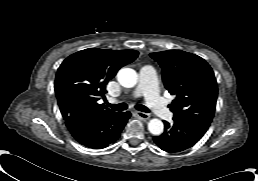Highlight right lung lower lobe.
Returning a JSON list of instances; mask_svg holds the SVG:
<instances>
[{
    "instance_id": "obj_1",
    "label": "right lung lower lobe",
    "mask_w": 258,
    "mask_h": 181,
    "mask_svg": "<svg viewBox=\"0 0 258 181\" xmlns=\"http://www.w3.org/2000/svg\"><path fill=\"white\" fill-rule=\"evenodd\" d=\"M130 116V112H115L104 116L86 114L65 123L80 144L102 149L120 137Z\"/></svg>"
}]
</instances>
